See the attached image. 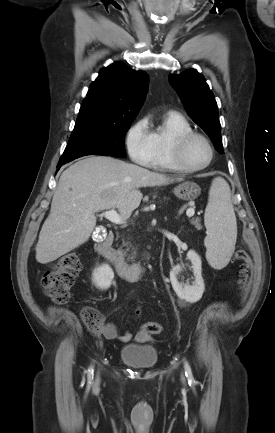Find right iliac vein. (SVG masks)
Instances as JSON below:
<instances>
[{
    "instance_id": "obj_1",
    "label": "right iliac vein",
    "mask_w": 275,
    "mask_h": 433,
    "mask_svg": "<svg viewBox=\"0 0 275 433\" xmlns=\"http://www.w3.org/2000/svg\"><path fill=\"white\" fill-rule=\"evenodd\" d=\"M99 383V377H97L95 384L97 385Z\"/></svg>"
}]
</instances>
